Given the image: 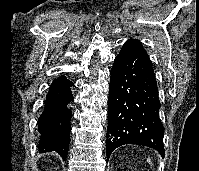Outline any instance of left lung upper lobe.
I'll return each instance as SVG.
<instances>
[{"label":"left lung upper lobe","mask_w":199,"mask_h":171,"mask_svg":"<svg viewBox=\"0 0 199 171\" xmlns=\"http://www.w3.org/2000/svg\"><path fill=\"white\" fill-rule=\"evenodd\" d=\"M132 40H134V39H132ZM134 41H137V42H139L138 40H134ZM140 43V42H139ZM141 44V43H140Z\"/></svg>","instance_id":"left-lung-upper-lobe-1"}]
</instances>
